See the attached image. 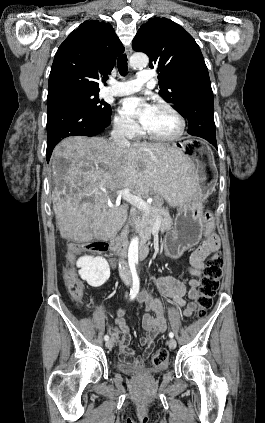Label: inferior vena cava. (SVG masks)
I'll use <instances>...</instances> for the list:
<instances>
[{
	"mask_svg": "<svg viewBox=\"0 0 265 423\" xmlns=\"http://www.w3.org/2000/svg\"><path fill=\"white\" fill-rule=\"evenodd\" d=\"M111 139L121 145H129L128 139L125 137V130L123 124H116L114 129L111 131ZM128 234V226H126L123 231L121 232V241L127 237ZM119 276L122 280H131V273L128 267L127 262L121 258L119 261Z\"/></svg>",
	"mask_w": 265,
	"mask_h": 423,
	"instance_id": "obj_1",
	"label": "inferior vena cava"
}]
</instances>
